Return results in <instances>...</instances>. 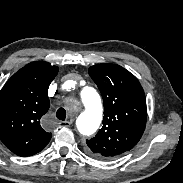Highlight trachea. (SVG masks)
<instances>
[{"instance_id":"trachea-1","label":"trachea","mask_w":183,"mask_h":183,"mask_svg":"<svg viewBox=\"0 0 183 183\" xmlns=\"http://www.w3.org/2000/svg\"><path fill=\"white\" fill-rule=\"evenodd\" d=\"M56 116L59 120L64 121L66 118V111L64 108H59L56 112Z\"/></svg>"}]
</instances>
